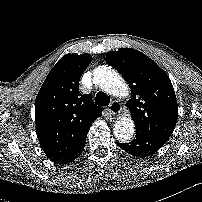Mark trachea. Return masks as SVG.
Wrapping results in <instances>:
<instances>
[{"mask_svg": "<svg viewBox=\"0 0 202 202\" xmlns=\"http://www.w3.org/2000/svg\"><path fill=\"white\" fill-rule=\"evenodd\" d=\"M95 102L99 106H108L110 103V98L103 92H98L95 96Z\"/></svg>", "mask_w": 202, "mask_h": 202, "instance_id": "3493384b", "label": "trachea"}]
</instances>
